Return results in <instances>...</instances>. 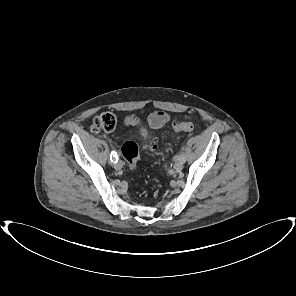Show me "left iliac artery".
Wrapping results in <instances>:
<instances>
[{
	"label": "left iliac artery",
	"instance_id": "1",
	"mask_svg": "<svg viewBox=\"0 0 296 296\" xmlns=\"http://www.w3.org/2000/svg\"><path fill=\"white\" fill-rule=\"evenodd\" d=\"M178 158H180L183 162L186 160L185 154L183 152L179 154Z\"/></svg>",
	"mask_w": 296,
	"mask_h": 296
}]
</instances>
